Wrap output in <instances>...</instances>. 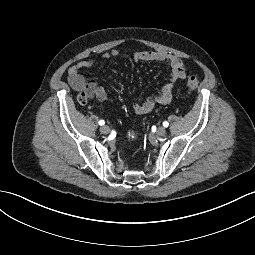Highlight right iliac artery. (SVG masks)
<instances>
[{
    "label": "right iliac artery",
    "instance_id": "right-iliac-artery-1",
    "mask_svg": "<svg viewBox=\"0 0 255 255\" xmlns=\"http://www.w3.org/2000/svg\"><path fill=\"white\" fill-rule=\"evenodd\" d=\"M104 124H105L104 120L99 121V125H104Z\"/></svg>",
    "mask_w": 255,
    "mask_h": 255
}]
</instances>
